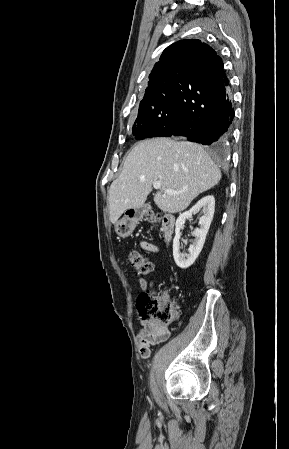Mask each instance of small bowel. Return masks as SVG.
Masks as SVG:
<instances>
[{
    "instance_id": "c3829d8e",
    "label": "small bowel",
    "mask_w": 289,
    "mask_h": 449,
    "mask_svg": "<svg viewBox=\"0 0 289 449\" xmlns=\"http://www.w3.org/2000/svg\"><path fill=\"white\" fill-rule=\"evenodd\" d=\"M141 247L150 252H156L155 245L149 242H141ZM140 287L143 291L149 290L153 287L154 282H148L141 278L139 280ZM142 328L137 333V345L142 357L147 358L150 355V348L152 345L163 342L168 338L167 336H160L151 331L148 324L145 321H141Z\"/></svg>"
}]
</instances>
